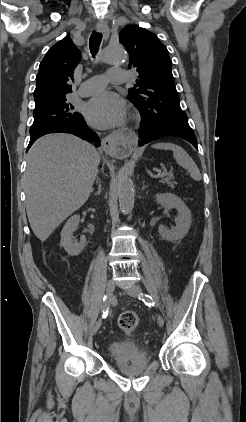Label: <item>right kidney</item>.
<instances>
[{
    "label": "right kidney",
    "mask_w": 246,
    "mask_h": 422,
    "mask_svg": "<svg viewBox=\"0 0 246 422\" xmlns=\"http://www.w3.org/2000/svg\"><path fill=\"white\" fill-rule=\"evenodd\" d=\"M79 221V215L72 216L69 220H67L61 232V245L64 247L65 251L71 256L79 255L86 245L85 236L81 237L79 243L74 242L72 239L73 233L77 230Z\"/></svg>",
    "instance_id": "ca27d5eb"
}]
</instances>
